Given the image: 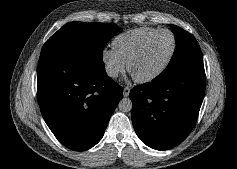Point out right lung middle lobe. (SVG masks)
<instances>
[{"instance_id": "right-lung-middle-lobe-1", "label": "right lung middle lobe", "mask_w": 237, "mask_h": 169, "mask_svg": "<svg viewBox=\"0 0 237 169\" xmlns=\"http://www.w3.org/2000/svg\"><path fill=\"white\" fill-rule=\"evenodd\" d=\"M122 29L109 23L71 22L44 44L41 56L102 59L105 44Z\"/></svg>"}]
</instances>
